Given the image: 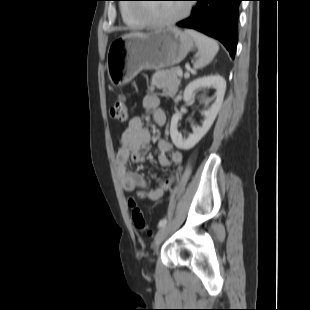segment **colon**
I'll return each instance as SVG.
<instances>
[{
  "label": "colon",
  "instance_id": "1",
  "mask_svg": "<svg viewBox=\"0 0 310 310\" xmlns=\"http://www.w3.org/2000/svg\"><path fill=\"white\" fill-rule=\"evenodd\" d=\"M110 115L113 119L124 121L128 115V104L124 96H119L113 103ZM130 215L135 228L142 233H149V225L147 224L142 210L138 207L134 199L129 200Z\"/></svg>",
  "mask_w": 310,
  "mask_h": 310
}]
</instances>
